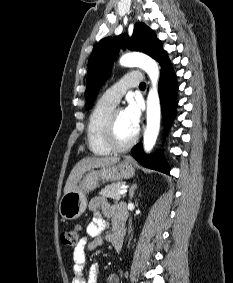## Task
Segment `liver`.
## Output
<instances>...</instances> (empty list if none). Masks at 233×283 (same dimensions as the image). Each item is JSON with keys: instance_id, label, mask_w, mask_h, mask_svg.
<instances>
[{"instance_id": "1", "label": "liver", "mask_w": 233, "mask_h": 283, "mask_svg": "<svg viewBox=\"0 0 233 283\" xmlns=\"http://www.w3.org/2000/svg\"><path fill=\"white\" fill-rule=\"evenodd\" d=\"M119 157H86L81 159L71 170L64 187V194L72 191L79 183L84 173L93 168H103L115 165Z\"/></svg>"}]
</instances>
